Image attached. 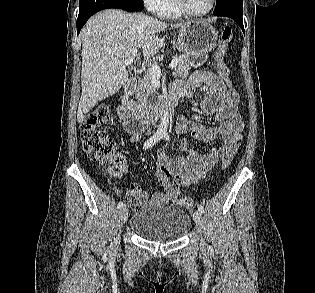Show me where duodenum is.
I'll list each match as a JSON object with an SVG mask.
<instances>
[{
	"label": "duodenum",
	"instance_id": "obj_1",
	"mask_svg": "<svg viewBox=\"0 0 315 293\" xmlns=\"http://www.w3.org/2000/svg\"><path fill=\"white\" fill-rule=\"evenodd\" d=\"M135 89L136 80H133L124 87L122 99L117 107L118 116L123 122L125 130L131 134H139L146 130L150 124L173 109L179 100L178 94L171 91L166 99L158 102L144 112H138L128 103Z\"/></svg>",
	"mask_w": 315,
	"mask_h": 293
}]
</instances>
